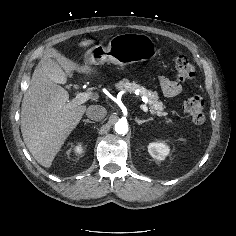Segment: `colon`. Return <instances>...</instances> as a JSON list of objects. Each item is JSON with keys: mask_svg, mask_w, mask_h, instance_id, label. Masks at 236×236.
Listing matches in <instances>:
<instances>
[{"mask_svg": "<svg viewBox=\"0 0 236 236\" xmlns=\"http://www.w3.org/2000/svg\"><path fill=\"white\" fill-rule=\"evenodd\" d=\"M175 70L180 81L191 80L195 75V68L183 55L175 60ZM183 109L196 124H201L205 120L204 101L196 93L191 94L183 101Z\"/></svg>", "mask_w": 236, "mask_h": 236, "instance_id": "obj_1", "label": "colon"}]
</instances>
